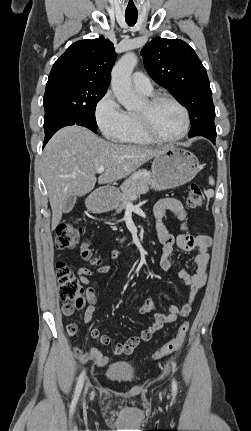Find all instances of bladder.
<instances>
[{
	"mask_svg": "<svg viewBox=\"0 0 251 431\" xmlns=\"http://www.w3.org/2000/svg\"><path fill=\"white\" fill-rule=\"evenodd\" d=\"M136 374L135 367L128 361H117L108 366L105 372L107 379L114 382H130Z\"/></svg>",
	"mask_w": 251,
	"mask_h": 431,
	"instance_id": "31cf9c89",
	"label": "bladder"
}]
</instances>
